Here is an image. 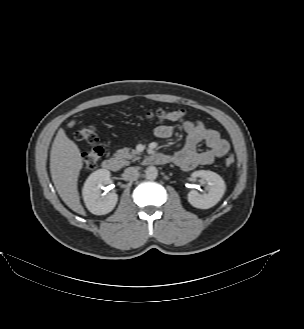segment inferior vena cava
<instances>
[{"label": "inferior vena cava", "mask_w": 304, "mask_h": 329, "mask_svg": "<svg viewBox=\"0 0 304 329\" xmlns=\"http://www.w3.org/2000/svg\"><path fill=\"white\" fill-rule=\"evenodd\" d=\"M125 177L130 181H135L139 177L138 169L135 167H128L124 170Z\"/></svg>", "instance_id": "1"}]
</instances>
